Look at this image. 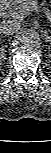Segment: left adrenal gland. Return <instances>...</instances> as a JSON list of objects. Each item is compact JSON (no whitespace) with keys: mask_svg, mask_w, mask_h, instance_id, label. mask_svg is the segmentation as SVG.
Returning <instances> with one entry per match:
<instances>
[{"mask_svg":"<svg viewBox=\"0 0 51 153\" xmlns=\"http://www.w3.org/2000/svg\"><path fill=\"white\" fill-rule=\"evenodd\" d=\"M45 36H46V40H47V41H49V39H50L49 34H48V33H46V34H45Z\"/></svg>","mask_w":51,"mask_h":153,"instance_id":"1","label":"left adrenal gland"}]
</instances>
